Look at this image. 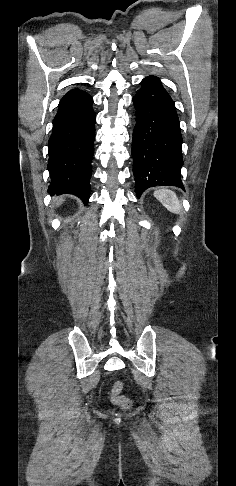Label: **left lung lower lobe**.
Listing matches in <instances>:
<instances>
[{"instance_id":"obj_1","label":"left lung lower lobe","mask_w":236,"mask_h":486,"mask_svg":"<svg viewBox=\"0 0 236 486\" xmlns=\"http://www.w3.org/2000/svg\"><path fill=\"white\" fill-rule=\"evenodd\" d=\"M133 97L136 126L132 138L133 174L139 198L158 185L184 188L182 136L175 104L161 81L144 78Z\"/></svg>"}]
</instances>
